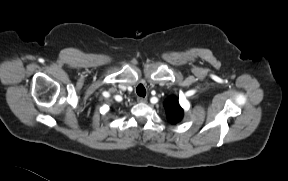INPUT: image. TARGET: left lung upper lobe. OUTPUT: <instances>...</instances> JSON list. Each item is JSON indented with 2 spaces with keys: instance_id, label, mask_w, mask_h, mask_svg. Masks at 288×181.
<instances>
[{
  "instance_id": "1",
  "label": "left lung upper lobe",
  "mask_w": 288,
  "mask_h": 181,
  "mask_svg": "<svg viewBox=\"0 0 288 181\" xmlns=\"http://www.w3.org/2000/svg\"><path fill=\"white\" fill-rule=\"evenodd\" d=\"M164 107L166 109L168 121L172 124L179 122L183 117V109L180 107L176 97L168 98Z\"/></svg>"
}]
</instances>
